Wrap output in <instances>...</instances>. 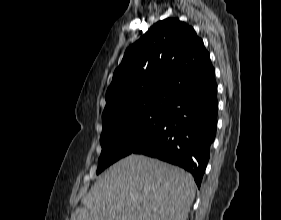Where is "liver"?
Listing matches in <instances>:
<instances>
[{
	"instance_id": "obj_1",
	"label": "liver",
	"mask_w": 281,
	"mask_h": 220,
	"mask_svg": "<svg viewBox=\"0 0 281 220\" xmlns=\"http://www.w3.org/2000/svg\"><path fill=\"white\" fill-rule=\"evenodd\" d=\"M195 191L183 169L131 154L97 179L70 220H187Z\"/></svg>"
}]
</instances>
